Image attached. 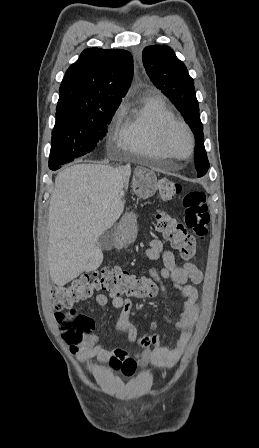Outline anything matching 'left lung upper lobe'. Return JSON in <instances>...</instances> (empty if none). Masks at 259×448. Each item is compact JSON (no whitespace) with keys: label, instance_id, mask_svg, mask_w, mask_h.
I'll use <instances>...</instances> for the list:
<instances>
[{"label":"left lung upper lobe","instance_id":"left-lung-upper-lobe-1","mask_svg":"<svg viewBox=\"0 0 259 448\" xmlns=\"http://www.w3.org/2000/svg\"><path fill=\"white\" fill-rule=\"evenodd\" d=\"M142 60L150 80L175 104L191 127L196 142L195 167L198 173L206 174L209 161L204 148L203 125L200 121L194 81L185 64L166 45L144 48Z\"/></svg>","mask_w":259,"mask_h":448}]
</instances>
